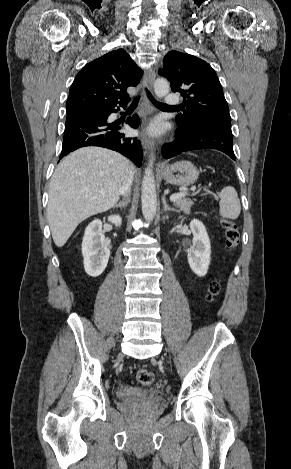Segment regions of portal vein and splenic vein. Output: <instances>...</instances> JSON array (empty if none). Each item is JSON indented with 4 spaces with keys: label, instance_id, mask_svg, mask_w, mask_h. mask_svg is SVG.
Segmentation results:
<instances>
[{
    "label": "portal vein and splenic vein",
    "instance_id": "portal-vein-and-splenic-vein-1",
    "mask_svg": "<svg viewBox=\"0 0 291 469\" xmlns=\"http://www.w3.org/2000/svg\"><path fill=\"white\" fill-rule=\"evenodd\" d=\"M186 192H181V193H177V194H173L170 196V201L171 202H175L177 200H179L180 198H183L186 196Z\"/></svg>",
    "mask_w": 291,
    "mask_h": 469
}]
</instances>
